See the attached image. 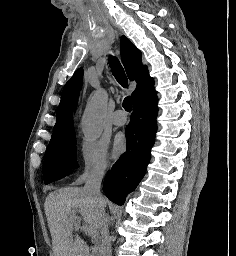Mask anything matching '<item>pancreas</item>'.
Listing matches in <instances>:
<instances>
[{
	"label": "pancreas",
	"mask_w": 236,
	"mask_h": 256,
	"mask_svg": "<svg viewBox=\"0 0 236 256\" xmlns=\"http://www.w3.org/2000/svg\"><path fill=\"white\" fill-rule=\"evenodd\" d=\"M93 242H100V237H93Z\"/></svg>",
	"instance_id": "cf45deb5"
}]
</instances>
